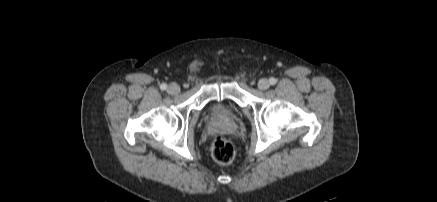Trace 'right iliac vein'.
Listing matches in <instances>:
<instances>
[{"label":"right iliac vein","instance_id":"1","mask_svg":"<svg viewBox=\"0 0 437 202\" xmlns=\"http://www.w3.org/2000/svg\"><path fill=\"white\" fill-rule=\"evenodd\" d=\"M167 92L172 95L178 94L180 92V86L176 83H172L168 86Z\"/></svg>","mask_w":437,"mask_h":202}]
</instances>
